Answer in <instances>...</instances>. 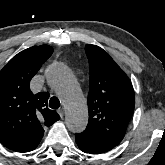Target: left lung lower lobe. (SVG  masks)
Wrapping results in <instances>:
<instances>
[{
	"label": "left lung lower lobe",
	"mask_w": 165,
	"mask_h": 165,
	"mask_svg": "<svg viewBox=\"0 0 165 165\" xmlns=\"http://www.w3.org/2000/svg\"><path fill=\"white\" fill-rule=\"evenodd\" d=\"M75 136L78 147L85 153L100 154L115 147V145L105 142L88 131L77 133Z\"/></svg>",
	"instance_id": "1"
}]
</instances>
